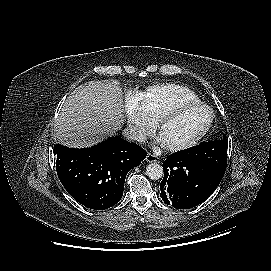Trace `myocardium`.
Segmentation results:
<instances>
[{
  "label": "myocardium",
  "mask_w": 271,
  "mask_h": 271,
  "mask_svg": "<svg viewBox=\"0 0 271 271\" xmlns=\"http://www.w3.org/2000/svg\"><path fill=\"white\" fill-rule=\"evenodd\" d=\"M199 106L205 107L209 112V119L207 123L205 124V126L193 138H191L190 140L186 142H183L177 145H164V147L167 150L171 152H180L197 145L210 130L214 121V111L208 104L198 100V101L186 102V103L176 105L170 109L165 110L164 112L158 115V117L155 120V124H156V130L160 132V129L165 121L181 114L182 112L186 110L199 107Z\"/></svg>",
  "instance_id": "f54148a6"
}]
</instances>
